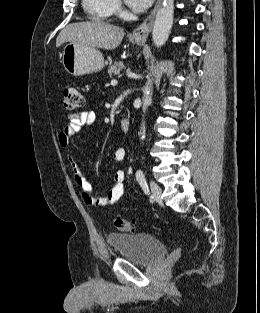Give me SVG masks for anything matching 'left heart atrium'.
Here are the masks:
<instances>
[{
    "mask_svg": "<svg viewBox=\"0 0 260 313\" xmlns=\"http://www.w3.org/2000/svg\"><path fill=\"white\" fill-rule=\"evenodd\" d=\"M154 0H126V3L136 12L147 9Z\"/></svg>",
    "mask_w": 260,
    "mask_h": 313,
    "instance_id": "39dd6f15",
    "label": "left heart atrium"
}]
</instances>
